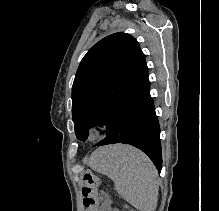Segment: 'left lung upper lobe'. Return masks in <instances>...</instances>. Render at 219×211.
I'll return each instance as SVG.
<instances>
[{"label": "left lung upper lobe", "mask_w": 219, "mask_h": 211, "mask_svg": "<svg viewBox=\"0 0 219 211\" xmlns=\"http://www.w3.org/2000/svg\"><path fill=\"white\" fill-rule=\"evenodd\" d=\"M150 84L139 43L123 32L96 43L83 57L72 87V116L77 139L93 126L109 134L129 104Z\"/></svg>", "instance_id": "1"}]
</instances>
